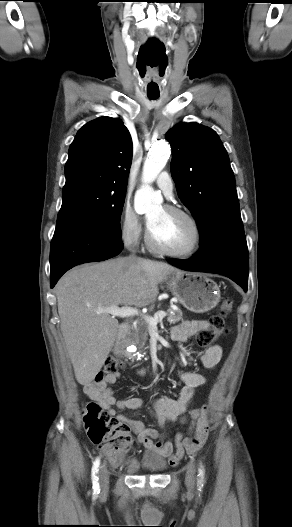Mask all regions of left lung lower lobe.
<instances>
[{
  "label": "left lung lower lobe",
  "mask_w": 292,
  "mask_h": 527,
  "mask_svg": "<svg viewBox=\"0 0 292 527\" xmlns=\"http://www.w3.org/2000/svg\"><path fill=\"white\" fill-rule=\"evenodd\" d=\"M178 268L227 276L245 291L248 285V248L246 239H225L200 248L189 260H168Z\"/></svg>",
  "instance_id": "left-lung-lower-lobe-1"
}]
</instances>
